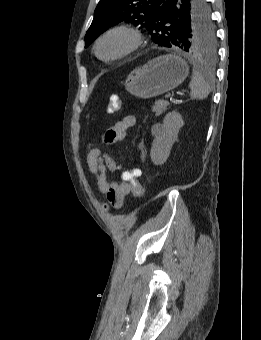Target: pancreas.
Masks as SVG:
<instances>
[{
	"label": "pancreas",
	"instance_id": "cf45deb5",
	"mask_svg": "<svg viewBox=\"0 0 261 340\" xmlns=\"http://www.w3.org/2000/svg\"><path fill=\"white\" fill-rule=\"evenodd\" d=\"M168 106H169L168 101L158 100L154 103L152 107V111L155 112L156 116H160L162 113H164L167 110Z\"/></svg>",
	"mask_w": 261,
	"mask_h": 340
}]
</instances>
